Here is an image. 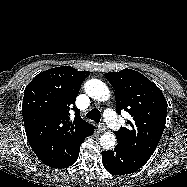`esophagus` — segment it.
Here are the masks:
<instances>
[{
  "label": "esophagus",
  "mask_w": 187,
  "mask_h": 187,
  "mask_svg": "<svg viewBox=\"0 0 187 187\" xmlns=\"http://www.w3.org/2000/svg\"><path fill=\"white\" fill-rule=\"evenodd\" d=\"M98 128H99V130H100L101 132H104L105 130H107V126L105 125L104 122L99 123Z\"/></svg>",
  "instance_id": "obj_1"
}]
</instances>
